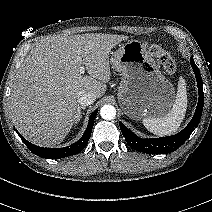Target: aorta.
<instances>
[{
	"label": "aorta",
	"instance_id": "762f6f07",
	"mask_svg": "<svg viewBox=\"0 0 212 212\" xmlns=\"http://www.w3.org/2000/svg\"><path fill=\"white\" fill-rule=\"evenodd\" d=\"M100 115L105 120H112L116 116V109L112 105H104L100 109Z\"/></svg>",
	"mask_w": 212,
	"mask_h": 212
}]
</instances>
